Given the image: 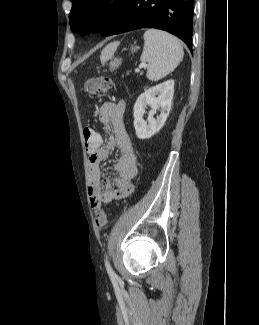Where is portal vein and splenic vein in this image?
<instances>
[{
	"mask_svg": "<svg viewBox=\"0 0 259 325\" xmlns=\"http://www.w3.org/2000/svg\"><path fill=\"white\" fill-rule=\"evenodd\" d=\"M146 67H147L146 64H140V65H139V69L146 68Z\"/></svg>",
	"mask_w": 259,
	"mask_h": 325,
	"instance_id": "obj_1",
	"label": "portal vein and splenic vein"
}]
</instances>
